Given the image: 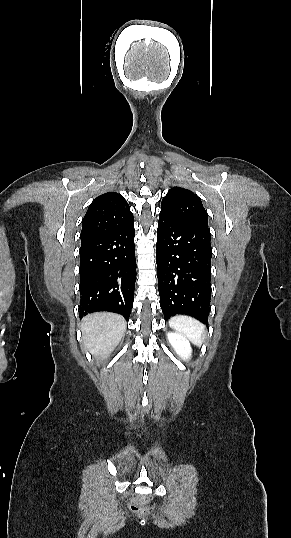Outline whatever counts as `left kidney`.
I'll return each instance as SVG.
<instances>
[{"label":"left kidney","instance_id":"1","mask_svg":"<svg viewBox=\"0 0 291 538\" xmlns=\"http://www.w3.org/2000/svg\"><path fill=\"white\" fill-rule=\"evenodd\" d=\"M167 337H168L169 343L174 348L176 353L182 359L187 360L192 352V348L188 339L184 335L180 333H176V332L175 333L169 332L167 334Z\"/></svg>","mask_w":291,"mask_h":538}]
</instances>
